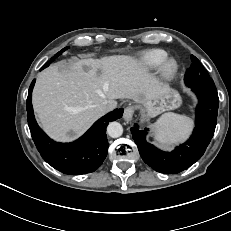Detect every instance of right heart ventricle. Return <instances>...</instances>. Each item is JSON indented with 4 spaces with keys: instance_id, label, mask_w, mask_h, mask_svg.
<instances>
[{
    "instance_id": "e07e8e85",
    "label": "right heart ventricle",
    "mask_w": 231,
    "mask_h": 231,
    "mask_svg": "<svg viewBox=\"0 0 231 231\" xmlns=\"http://www.w3.org/2000/svg\"><path fill=\"white\" fill-rule=\"evenodd\" d=\"M167 57L168 52L160 48L145 50L137 58L136 69L141 73L153 72L160 67Z\"/></svg>"
}]
</instances>
